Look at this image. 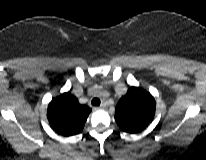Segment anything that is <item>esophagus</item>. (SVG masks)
I'll return each instance as SVG.
<instances>
[{
	"label": "esophagus",
	"mask_w": 206,
	"mask_h": 160,
	"mask_svg": "<svg viewBox=\"0 0 206 160\" xmlns=\"http://www.w3.org/2000/svg\"><path fill=\"white\" fill-rule=\"evenodd\" d=\"M106 107V103L102 102L101 105L99 107H95V109H103Z\"/></svg>",
	"instance_id": "esophagus-1"
}]
</instances>
